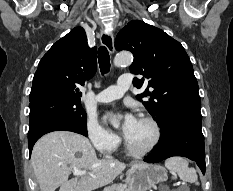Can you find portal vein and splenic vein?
<instances>
[{
	"label": "portal vein and splenic vein",
	"instance_id": "portal-vein-and-splenic-vein-1",
	"mask_svg": "<svg viewBox=\"0 0 233 191\" xmlns=\"http://www.w3.org/2000/svg\"><path fill=\"white\" fill-rule=\"evenodd\" d=\"M73 174L75 176H80V175L87 174V171H85V170H75Z\"/></svg>",
	"mask_w": 233,
	"mask_h": 191
}]
</instances>
